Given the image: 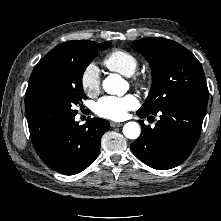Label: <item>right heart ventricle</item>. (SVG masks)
<instances>
[{
  "label": "right heart ventricle",
  "mask_w": 221,
  "mask_h": 221,
  "mask_svg": "<svg viewBox=\"0 0 221 221\" xmlns=\"http://www.w3.org/2000/svg\"><path fill=\"white\" fill-rule=\"evenodd\" d=\"M103 63L109 70L126 77L132 76L138 68L137 57L124 49L112 50L105 56Z\"/></svg>",
  "instance_id": "1"
}]
</instances>
